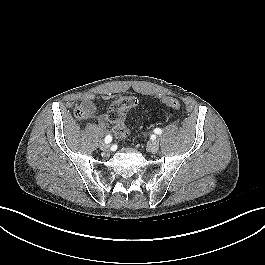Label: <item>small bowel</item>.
Wrapping results in <instances>:
<instances>
[{
    "label": "small bowel",
    "instance_id": "c3829d8e",
    "mask_svg": "<svg viewBox=\"0 0 265 265\" xmlns=\"http://www.w3.org/2000/svg\"><path fill=\"white\" fill-rule=\"evenodd\" d=\"M164 98V97H163ZM162 98V101H163ZM98 100V96L94 94H86L81 97V104L87 107L91 112L95 110V102ZM97 124L101 128H105L108 125V121L105 115H100L97 119Z\"/></svg>",
    "mask_w": 265,
    "mask_h": 265
}]
</instances>
